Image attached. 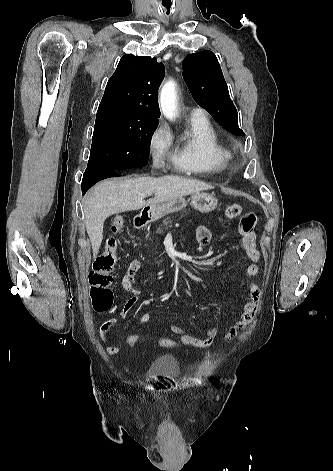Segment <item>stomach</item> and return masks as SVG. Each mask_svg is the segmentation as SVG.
Masks as SVG:
<instances>
[{"label": "stomach", "instance_id": "1", "mask_svg": "<svg viewBox=\"0 0 333 471\" xmlns=\"http://www.w3.org/2000/svg\"><path fill=\"white\" fill-rule=\"evenodd\" d=\"M191 206L199 212L208 213L217 208L218 200L209 193L197 192L191 196ZM187 201L183 196L173 198L167 202L154 204L148 207L151 219L156 220L162 216L177 212L185 208Z\"/></svg>", "mask_w": 333, "mask_h": 471}]
</instances>
